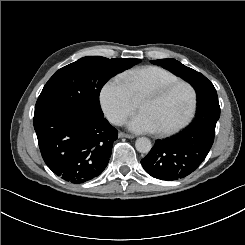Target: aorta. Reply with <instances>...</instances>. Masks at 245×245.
<instances>
[{
    "instance_id": "aorta-1",
    "label": "aorta",
    "mask_w": 245,
    "mask_h": 245,
    "mask_svg": "<svg viewBox=\"0 0 245 245\" xmlns=\"http://www.w3.org/2000/svg\"><path fill=\"white\" fill-rule=\"evenodd\" d=\"M135 147L138 152L147 154L150 152L152 144L148 138L141 137L135 141Z\"/></svg>"
}]
</instances>
